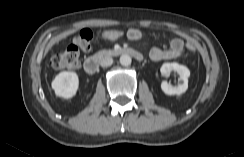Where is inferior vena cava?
Masks as SVG:
<instances>
[{"mask_svg":"<svg viewBox=\"0 0 244 157\" xmlns=\"http://www.w3.org/2000/svg\"><path fill=\"white\" fill-rule=\"evenodd\" d=\"M112 64H113V59L110 56H106L100 61V65L102 67H108L111 66Z\"/></svg>","mask_w":244,"mask_h":157,"instance_id":"obj_1","label":"inferior vena cava"}]
</instances>
